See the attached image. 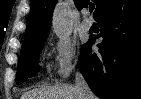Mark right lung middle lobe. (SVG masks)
Masks as SVG:
<instances>
[{"label": "right lung middle lobe", "mask_w": 141, "mask_h": 99, "mask_svg": "<svg viewBox=\"0 0 141 99\" xmlns=\"http://www.w3.org/2000/svg\"><path fill=\"white\" fill-rule=\"evenodd\" d=\"M46 38L47 36L38 41L22 45L16 77L17 84H20L24 82L26 78L33 77L37 74L38 58Z\"/></svg>", "instance_id": "obj_1"}]
</instances>
